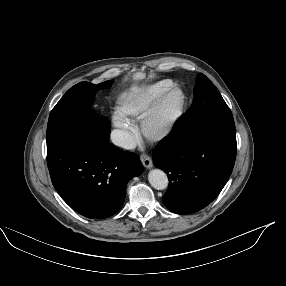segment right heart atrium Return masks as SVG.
Listing matches in <instances>:
<instances>
[{"instance_id": "obj_1", "label": "right heart atrium", "mask_w": 286, "mask_h": 286, "mask_svg": "<svg viewBox=\"0 0 286 286\" xmlns=\"http://www.w3.org/2000/svg\"><path fill=\"white\" fill-rule=\"evenodd\" d=\"M114 127L119 132V141L127 149L131 148L135 141V130L128 119L120 113H114L112 116Z\"/></svg>"}]
</instances>
